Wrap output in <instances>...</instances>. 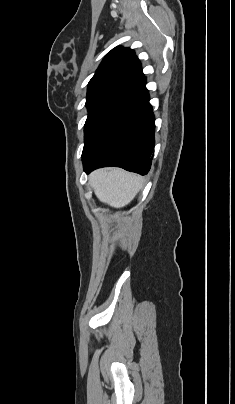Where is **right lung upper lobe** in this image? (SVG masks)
Instances as JSON below:
<instances>
[{
	"instance_id": "1",
	"label": "right lung upper lobe",
	"mask_w": 235,
	"mask_h": 404,
	"mask_svg": "<svg viewBox=\"0 0 235 404\" xmlns=\"http://www.w3.org/2000/svg\"><path fill=\"white\" fill-rule=\"evenodd\" d=\"M141 64L130 48L116 47L103 59L88 88L102 84L130 85L142 78Z\"/></svg>"
}]
</instances>
